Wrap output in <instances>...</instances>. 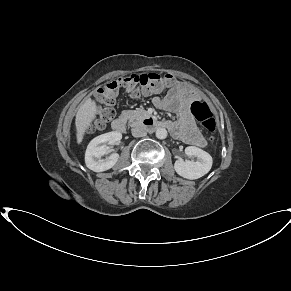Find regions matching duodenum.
<instances>
[{
    "label": "duodenum",
    "instance_id": "obj_1",
    "mask_svg": "<svg viewBox=\"0 0 291 291\" xmlns=\"http://www.w3.org/2000/svg\"><path fill=\"white\" fill-rule=\"evenodd\" d=\"M143 125L151 128V129H158L164 127V123L157 119H154L152 116H147L143 120ZM125 126V119L124 117L115 118L112 121V128L117 132H122Z\"/></svg>",
    "mask_w": 291,
    "mask_h": 291
}]
</instances>
